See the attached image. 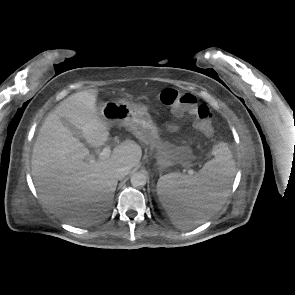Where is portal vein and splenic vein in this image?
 Segmentation results:
<instances>
[{
	"label": "portal vein and splenic vein",
	"instance_id": "1",
	"mask_svg": "<svg viewBox=\"0 0 295 295\" xmlns=\"http://www.w3.org/2000/svg\"><path fill=\"white\" fill-rule=\"evenodd\" d=\"M111 155V149L109 146H105L101 153L99 154V159L100 160H105L109 158ZM189 174H193V170H189Z\"/></svg>",
	"mask_w": 295,
	"mask_h": 295
}]
</instances>
